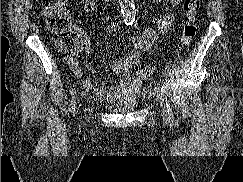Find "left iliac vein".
Segmentation results:
<instances>
[{"label":"left iliac vein","instance_id":"obj_1","mask_svg":"<svg viewBox=\"0 0 243 182\" xmlns=\"http://www.w3.org/2000/svg\"><path fill=\"white\" fill-rule=\"evenodd\" d=\"M157 98L158 101L160 103L161 109H162V116L165 122L168 121V110H167V106H166V101H165V97L159 92H157Z\"/></svg>","mask_w":243,"mask_h":182}]
</instances>
